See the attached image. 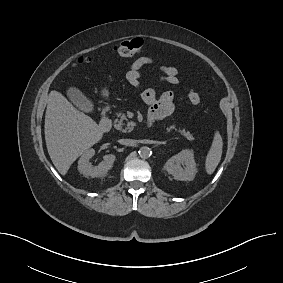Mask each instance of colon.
Wrapping results in <instances>:
<instances>
[{
    "mask_svg": "<svg viewBox=\"0 0 283 283\" xmlns=\"http://www.w3.org/2000/svg\"><path fill=\"white\" fill-rule=\"evenodd\" d=\"M144 42L142 39L134 38L128 39L120 42L114 49V52L119 57H131L140 53L143 49ZM89 61L86 56H81L78 59L79 64H84ZM188 99L192 104L198 105L201 103L202 99L199 93L194 90H190L188 93Z\"/></svg>",
    "mask_w": 283,
    "mask_h": 283,
    "instance_id": "5ec220e1",
    "label": "colon"
}]
</instances>
